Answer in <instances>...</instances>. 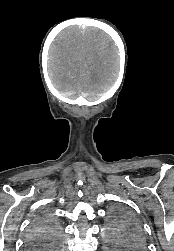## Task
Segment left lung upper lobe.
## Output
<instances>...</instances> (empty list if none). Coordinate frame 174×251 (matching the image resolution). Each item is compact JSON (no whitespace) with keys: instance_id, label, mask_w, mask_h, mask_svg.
<instances>
[{"instance_id":"5c2ea615","label":"left lung upper lobe","mask_w":174,"mask_h":251,"mask_svg":"<svg viewBox=\"0 0 174 251\" xmlns=\"http://www.w3.org/2000/svg\"><path fill=\"white\" fill-rule=\"evenodd\" d=\"M109 230L111 233V239L114 242L123 240L136 249H143L145 247V238L142 227L125 208H115L111 211Z\"/></svg>"}]
</instances>
